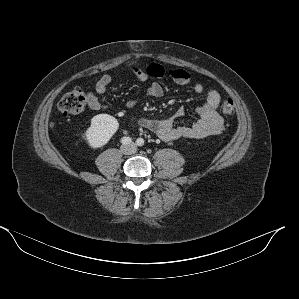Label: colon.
Listing matches in <instances>:
<instances>
[{
  "mask_svg": "<svg viewBox=\"0 0 299 299\" xmlns=\"http://www.w3.org/2000/svg\"><path fill=\"white\" fill-rule=\"evenodd\" d=\"M86 105V95L81 88H73L64 94L61 98L58 110L65 116L76 115L80 113ZM221 112L225 116H230L234 113V101L231 98H226L221 102Z\"/></svg>",
  "mask_w": 299,
  "mask_h": 299,
  "instance_id": "obj_1",
  "label": "colon"
}]
</instances>
